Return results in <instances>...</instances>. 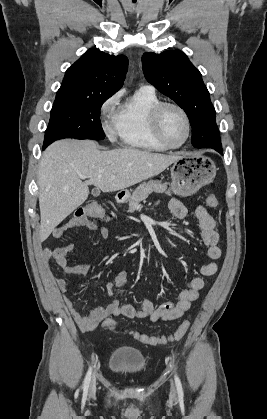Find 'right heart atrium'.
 <instances>
[{
    "label": "right heart atrium",
    "mask_w": 267,
    "mask_h": 419,
    "mask_svg": "<svg viewBox=\"0 0 267 419\" xmlns=\"http://www.w3.org/2000/svg\"><path fill=\"white\" fill-rule=\"evenodd\" d=\"M118 102H119V95L118 94L112 95L102 104L101 113L102 114L110 113L118 104ZM104 131L109 138H113L116 133L114 123L106 124L104 126Z\"/></svg>",
    "instance_id": "right-heart-atrium-1"
}]
</instances>
